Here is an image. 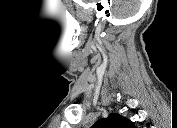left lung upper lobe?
<instances>
[{
    "mask_svg": "<svg viewBox=\"0 0 177 128\" xmlns=\"http://www.w3.org/2000/svg\"><path fill=\"white\" fill-rule=\"evenodd\" d=\"M95 128H134V124L127 118L122 117L117 113L110 114L107 118L98 120Z\"/></svg>",
    "mask_w": 177,
    "mask_h": 128,
    "instance_id": "1",
    "label": "left lung upper lobe"
}]
</instances>
